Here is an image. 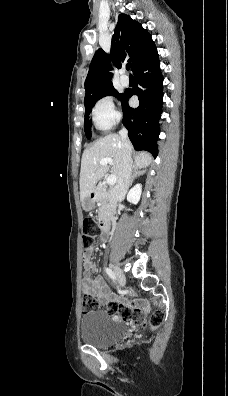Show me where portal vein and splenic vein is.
Masks as SVG:
<instances>
[{
  "instance_id": "portal-vein-and-splenic-vein-1",
  "label": "portal vein and splenic vein",
  "mask_w": 228,
  "mask_h": 396,
  "mask_svg": "<svg viewBox=\"0 0 228 396\" xmlns=\"http://www.w3.org/2000/svg\"><path fill=\"white\" fill-rule=\"evenodd\" d=\"M100 165H106V164H112L113 160L111 158H104L100 160ZM117 181V178L115 175H110L106 179V183L109 185H114Z\"/></svg>"
}]
</instances>
